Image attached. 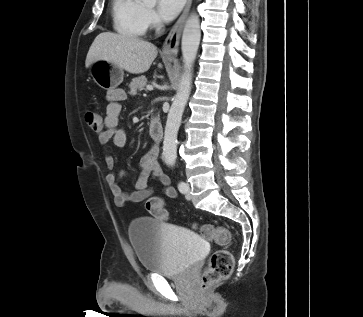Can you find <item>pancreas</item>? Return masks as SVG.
<instances>
[{"instance_id": "1", "label": "pancreas", "mask_w": 363, "mask_h": 317, "mask_svg": "<svg viewBox=\"0 0 363 317\" xmlns=\"http://www.w3.org/2000/svg\"><path fill=\"white\" fill-rule=\"evenodd\" d=\"M147 85V79L145 76H139L132 79L129 84V94L134 96L137 94V91H142L144 87Z\"/></svg>"}]
</instances>
